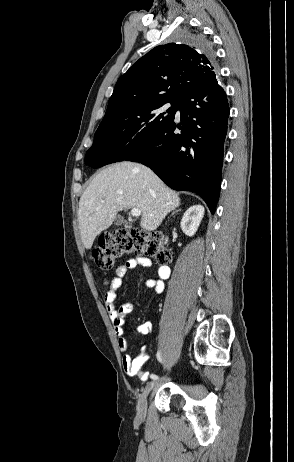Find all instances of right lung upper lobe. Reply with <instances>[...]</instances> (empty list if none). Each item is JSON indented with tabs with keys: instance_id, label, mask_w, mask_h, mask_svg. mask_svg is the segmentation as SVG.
<instances>
[{
	"instance_id": "obj_1",
	"label": "right lung upper lobe",
	"mask_w": 294,
	"mask_h": 462,
	"mask_svg": "<svg viewBox=\"0 0 294 462\" xmlns=\"http://www.w3.org/2000/svg\"><path fill=\"white\" fill-rule=\"evenodd\" d=\"M216 76L217 64L212 50L181 43L157 46L118 79L105 116L148 99L182 97Z\"/></svg>"
}]
</instances>
